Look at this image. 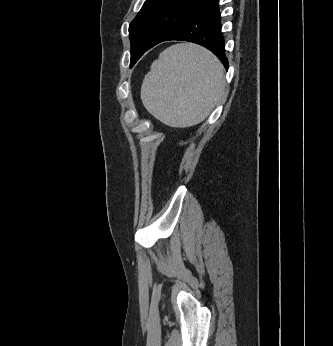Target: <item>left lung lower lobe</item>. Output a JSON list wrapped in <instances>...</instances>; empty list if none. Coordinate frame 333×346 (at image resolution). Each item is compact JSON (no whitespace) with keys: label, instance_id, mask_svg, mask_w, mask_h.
<instances>
[{"label":"left lung lower lobe","instance_id":"0a47b994","mask_svg":"<svg viewBox=\"0 0 333 346\" xmlns=\"http://www.w3.org/2000/svg\"><path fill=\"white\" fill-rule=\"evenodd\" d=\"M221 27L218 0H209L158 43L168 40L197 43L213 52L227 70L228 60Z\"/></svg>","mask_w":333,"mask_h":346}]
</instances>
